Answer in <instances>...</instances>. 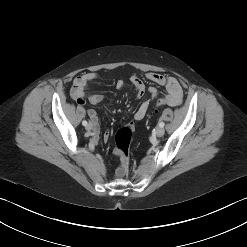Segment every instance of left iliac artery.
<instances>
[{"label":"left iliac artery","mask_w":247,"mask_h":247,"mask_svg":"<svg viewBox=\"0 0 247 247\" xmlns=\"http://www.w3.org/2000/svg\"><path fill=\"white\" fill-rule=\"evenodd\" d=\"M164 125H165L164 122H162V121L159 122L160 127H164Z\"/></svg>","instance_id":"1"}]
</instances>
